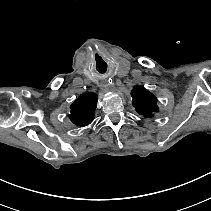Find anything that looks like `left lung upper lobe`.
Wrapping results in <instances>:
<instances>
[{
	"mask_svg": "<svg viewBox=\"0 0 211 211\" xmlns=\"http://www.w3.org/2000/svg\"><path fill=\"white\" fill-rule=\"evenodd\" d=\"M132 104L138 114L146 118L154 116L159 111L157 98L142 86H136L131 91Z\"/></svg>",
	"mask_w": 211,
	"mask_h": 211,
	"instance_id": "obj_1",
	"label": "left lung upper lobe"
}]
</instances>
